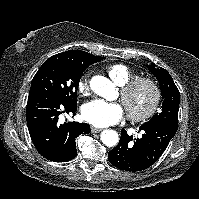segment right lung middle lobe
Segmentation results:
<instances>
[{
  "label": "right lung middle lobe",
  "instance_id": "1",
  "mask_svg": "<svg viewBox=\"0 0 199 199\" xmlns=\"http://www.w3.org/2000/svg\"><path fill=\"white\" fill-rule=\"evenodd\" d=\"M85 69L50 57L35 74L29 94L38 91L49 92L66 104L77 106V88Z\"/></svg>",
  "mask_w": 199,
  "mask_h": 199
}]
</instances>
